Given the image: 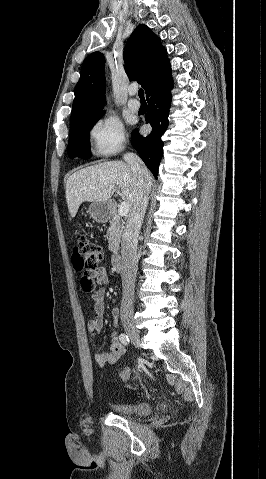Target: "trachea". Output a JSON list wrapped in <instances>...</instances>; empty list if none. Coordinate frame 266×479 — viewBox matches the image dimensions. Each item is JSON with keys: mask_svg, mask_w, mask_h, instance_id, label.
I'll list each match as a JSON object with an SVG mask.
<instances>
[{"mask_svg": "<svg viewBox=\"0 0 266 479\" xmlns=\"http://www.w3.org/2000/svg\"><path fill=\"white\" fill-rule=\"evenodd\" d=\"M138 95H139L140 100L145 101V99H144V90H143V89H139Z\"/></svg>", "mask_w": 266, "mask_h": 479, "instance_id": "1", "label": "trachea"}]
</instances>
